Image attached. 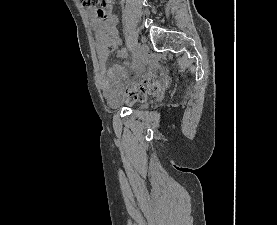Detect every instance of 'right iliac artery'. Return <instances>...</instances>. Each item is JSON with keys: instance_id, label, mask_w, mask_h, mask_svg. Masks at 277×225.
<instances>
[{"instance_id": "82829eb1", "label": "right iliac artery", "mask_w": 277, "mask_h": 225, "mask_svg": "<svg viewBox=\"0 0 277 225\" xmlns=\"http://www.w3.org/2000/svg\"><path fill=\"white\" fill-rule=\"evenodd\" d=\"M138 51H139V48L136 47L133 49L132 51V59H133V62H136L137 59H138Z\"/></svg>"}]
</instances>
